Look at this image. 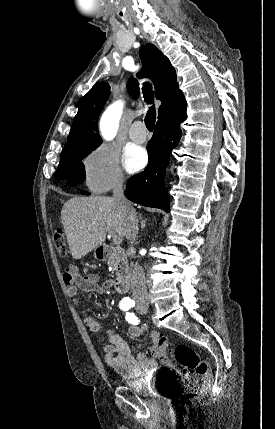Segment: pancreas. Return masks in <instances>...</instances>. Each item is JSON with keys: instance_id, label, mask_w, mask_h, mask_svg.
I'll return each instance as SVG.
<instances>
[{"instance_id": "pancreas-1", "label": "pancreas", "mask_w": 275, "mask_h": 429, "mask_svg": "<svg viewBox=\"0 0 275 429\" xmlns=\"http://www.w3.org/2000/svg\"><path fill=\"white\" fill-rule=\"evenodd\" d=\"M109 265H111V266H115L116 264H115V262H114V261H111V262L109 263Z\"/></svg>"}]
</instances>
